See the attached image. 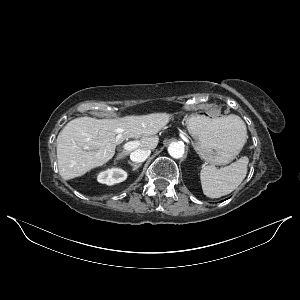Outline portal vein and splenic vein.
<instances>
[{
    "instance_id": "1",
    "label": "portal vein and splenic vein",
    "mask_w": 300,
    "mask_h": 300,
    "mask_svg": "<svg viewBox=\"0 0 300 300\" xmlns=\"http://www.w3.org/2000/svg\"><path fill=\"white\" fill-rule=\"evenodd\" d=\"M139 146V141H129L123 145V149L126 151L134 150Z\"/></svg>"
}]
</instances>
